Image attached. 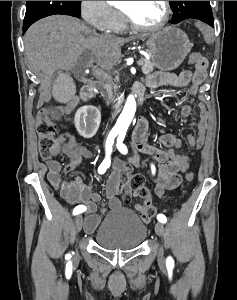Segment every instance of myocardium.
<instances>
[{"label": "myocardium", "instance_id": "f54148a6", "mask_svg": "<svg viewBox=\"0 0 237 300\" xmlns=\"http://www.w3.org/2000/svg\"><path fill=\"white\" fill-rule=\"evenodd\" d=\"M164 3V15L161 19V21L155 25H151V26H146V25H140L138 23H136L133 18L123 9H121V13L123 16L124 21L134 30H138V31H157L160 30L162 28H164L167 23L170 20L171 17V5H170V1H163Z\"/></svg>", "mask_w": 237, "mask_h": 300}]
</instances>
